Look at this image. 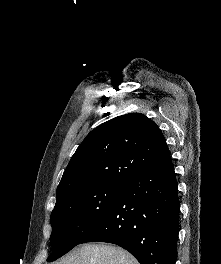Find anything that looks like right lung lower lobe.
I'll use <instances>...</instances> for the list:
<instances>
[{"label":"right lung lower lobe","mask_w":221,"mask_h":264,"mask_svg":"<svg viewBox=\"0 0 221 264\" xmlns=\"http://www.w3.org/2000/svg\"><path fill=\"white\" fill-rule=\"evenodd\" d=\"M178 184L172 161L127 182L111 211L81 242H107L141 264H175L179 232Z\"/></svg>","instance_id":"98d812e1"}]
</instances>
